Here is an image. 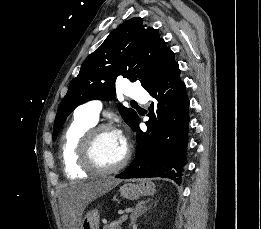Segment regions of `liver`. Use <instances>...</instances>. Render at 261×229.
<instances>
[{"mask_svg": "<svg viewBox=\"0 0 261 229\" xmlns=\"http://www.w3.org/2000/svg\"><path fill=\"white\" fill-rule=\"evenodd\" d=\"M119 183H121V179L105 177V179H97V181H91V183H75L72 187H68V203H73V205L69 209L66 207L68 223L64 221L65 227L78 229L86 205H89L91 201H95L98 197H102L105 193H109Z\"/></svg>", "mask_w": 261, "mask_h": 229, "instance_id": "6515ba94", "label": "liver"}]
</instances>
